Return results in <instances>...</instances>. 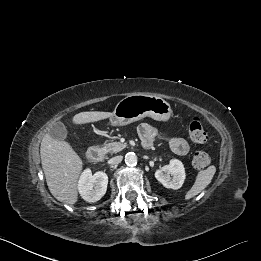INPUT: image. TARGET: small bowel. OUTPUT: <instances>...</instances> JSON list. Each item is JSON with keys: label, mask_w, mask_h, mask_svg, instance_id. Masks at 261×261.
Returning a JSON list of instances; mask_svg holds the SVG:
<instances>
[{"label": "small bowel", "mask_w": 261, "mask_h": 261, "mask_svg": "<svg viewBox=\"0 0 261 261\" xmlns=\"http://www.w3.org/2000/svg\"><path fill=\"white\" fill-rule=\"evenodd\" d=\"M139 135L145 146H150L158 136L156 128L149 124H142L138 129ZM171 150L180 156H185L190 151L187 141L181 137H172L168 139Z\"/></svg>", "instance_id": "obj_1"}]
</instances>
